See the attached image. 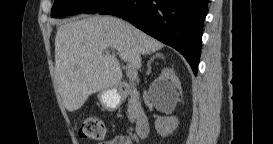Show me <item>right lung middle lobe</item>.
<instances>
[{"label": "right lung middle lobe", "mask_w": 273, "mask_h": 144, "mask_svg": "<svg viewBox=\"0 0 273 144\" xmlns=\"http://www.w3.org/2000/svg\"><path fill=\"white\" fill-rule=\"evenodd\" d=\"M110 0H55L51 17L62 18L78 13L94 14Z\"/></svg>", "instance_id": "dd1d6c3e"}]
</instances>
